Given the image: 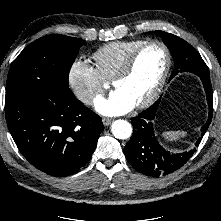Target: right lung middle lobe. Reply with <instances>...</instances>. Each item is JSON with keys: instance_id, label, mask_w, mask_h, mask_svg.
I'll return each mask as SVG.
<instances>
[{"instance_id": "obj_1", "label": "right lung middle lobe", "mask_w": 221, "mask_h": 221, "mask_svg": "<svg viewBox=\"0 0 221 221\" xmlns=\"http://www.w3.org/2000/svg\"><path fill=\"white\" fill-rule=\"evenodd\" d=\"M82 45H86L82 39L59 34L32 42L11 64L6 96H45L54 89L70 91L69 71Z\"/></svg>"}]
</instances>
